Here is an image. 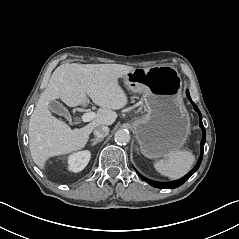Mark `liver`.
<instances>
[{
    "label": "liver",
    "instance_id": "obj_1",
    "mask_svg": "<svg viewBox=\"0 0 239 239\" xmlns=\"http://www.w3.org/2000/svg\"><path fill=\"white\" fill-rule=\"evenodd\" d=\"M135 69L116 63H65L55 69L29 120L30 153L41 171L48 174L46 163L50 158L83 150L97 126L115 123L118 118L115 111L126 108L130 103L119 80ZM86 96L100 109L83 128L71 129L49 110L50 101L60 99L66 106L76 108L86 102Z\"/></svg>",
    "mask_w": 239,
    "mask_h": 239
}]
</instances>
